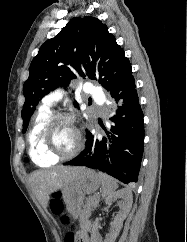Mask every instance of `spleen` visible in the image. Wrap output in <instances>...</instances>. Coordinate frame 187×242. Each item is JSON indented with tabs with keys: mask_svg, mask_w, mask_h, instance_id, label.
<instances>
[{
	"mask_svg": "<svg viewBox=\"0 0 187 242\" xmlns=\"http://www.w3.org/2000/svg\"><path fill=\"white\" fill-rule=\"evenodd\" d=\"M98 174L102 183V196H111L114 193V191L118 188L117 182L115 181V179H113L105 173L99 172Z\"/></svg>",
	"mask_w": 187,
	"mask_h": 242,
	"instance_id": "obj_1",
	"label": "spleen"
}]
</instances>
